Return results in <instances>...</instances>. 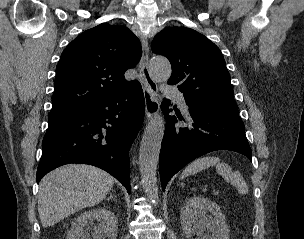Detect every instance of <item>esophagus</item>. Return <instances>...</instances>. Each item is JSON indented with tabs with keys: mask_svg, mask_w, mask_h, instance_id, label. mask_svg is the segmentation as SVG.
Masks as SVG:
<instances>
[{
	"mask_svg": "<svg viewBox=\"0 0 304 239\" xmlns=\"http://www.w3.org/2000/svg\"><path fill=\"white\" fill-rule=\"evenodd\" d=\"M142 43V58H141V73H142V89L145 99V113H146V122L152 119L159 111L160 104L156 97L158 92V87L156 82L151 76L148 67L149 61V46L146 36L141 37Z\"/></svg>",
	"mask_w": 304,
	"mask_h": 239,
	"instance_id": "34e87169",
	"label": "esophagus"
}]
</instances>
